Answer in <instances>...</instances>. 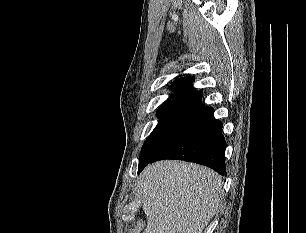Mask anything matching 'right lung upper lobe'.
<instances>
[{
	"instance_id": "1",
	"label": "right lung upper lobe",
	"mask_w": 306,
	"mask_h": 233,
	"mask_svg": "<svg viewBox=\"0 0 306 233\" xmlns=\"http://www.w3.org/2000/svg\"><path fill=\"white\" fill-rule=\"evenodd\" d=\"M193 81L194 79L190 77L176 79L171 86V89L176 92L171 95L172 100L166 102H180L204 108L200 101L201 94L193 90Z\"/></svg>"
}]
</instances>
